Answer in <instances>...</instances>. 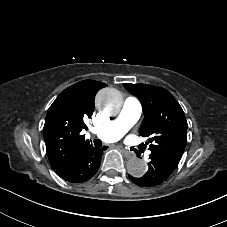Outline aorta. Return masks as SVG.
Segmentation results:
<instances>
[{
    "label": "aorta",
    "mask_w": 227,
    "mask_h": 227,
    "mask_svg": "<svg viewBox=\"0 0 227 227\" xmlns=\"http://www.w3.org/2000/svg\"><path fill=\"white\" fill-rule=\"evenodd\" d=\"M122 103L120 92L113 88L102 89L96 97V105L107 115L119 112ZM147 168L146 162L140 158H132L127 163L128 173L133 177H142L147 172Z\"/></svg>",
    "instance_id": "762f6f07"
}]
</instances>
